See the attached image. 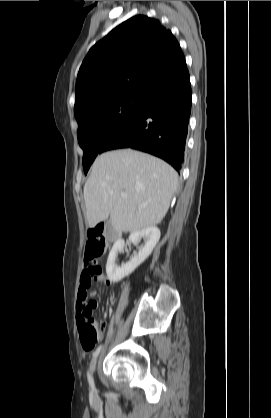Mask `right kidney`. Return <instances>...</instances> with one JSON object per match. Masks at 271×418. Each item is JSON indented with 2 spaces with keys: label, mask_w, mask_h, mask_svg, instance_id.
I'll return each mask as SVG.
<instances>
[{
  "label": "right kidney",
  "mask_w": 271,
  "mask_h": 418,
  "mask_svg": "<svg viewBox=\"0 0 271 418\" xmlns=\"http://www.w3.org/2000/svg\"><path fill=\"white\" fill-rule=\"evenodd\" d=\"M160 235V230L155 226L132 232L129 236V240L133 244H138L141 239L145 241V244L139 247V252L128 263L122 264L121 266L116 264V258L118 253L123 250L125 243L122 239L117 240L107 259L106 273L109 280L112 282H119L124 277L131 274L152 253L160 239Z\"/></svg>",
  "instance_id": "ca27d5eb"
}]
</instances>
